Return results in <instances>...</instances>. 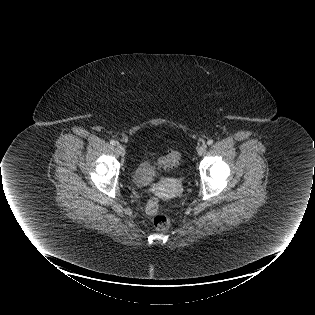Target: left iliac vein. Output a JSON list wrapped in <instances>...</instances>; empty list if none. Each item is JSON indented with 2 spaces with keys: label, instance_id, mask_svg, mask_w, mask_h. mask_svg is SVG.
Returning a JSON list of instances; mask_svg holds the SVG:
<instances>
[{
  "label": "left iliac vein",
  "instance_id": "left-iliac-vein-1",
  "mask_svg": "<svg viewBox=\"0 0 315 315\" xmlns=\"http://www.w3.org/2000/svg\"><path fill=\"white\" fill-rule=\"evenodd\" d=\"M206 148H207V145L203 143L197 150L198 155L204 154L206 151Z\"/></svg>",
  "mask_w": 315,
  "mask_h": 315
}]
</instances>
